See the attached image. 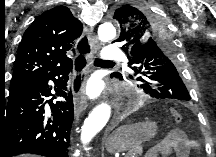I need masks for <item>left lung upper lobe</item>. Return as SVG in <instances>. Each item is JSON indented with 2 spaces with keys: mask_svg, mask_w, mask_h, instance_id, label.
Returning a JSON list of instances; mask_svg holds the SVG:
<instances>
[{
  "mask_svg": "<svg viewBox=\"0 0 216 157\" xmlns=\"http://www.w3.org/2000/svg\"><path fill=\"white\" fill-rule=\"evenodd\" d=\"M113 18L121 30L116 41L124 43L121 48L134 75H138V87L156 99L189 101V92L179 75L172 35L163 19L152 15V10L135 5L118 7ZM115 76L122 77L119 73Z\"/></svg>",
  "mask_w": 216,
  "mask_h": 157,
  "instance_id": "left-lung-upper-lobe-1",
  "label": "left lung upper lobe"
}]
</instances>
